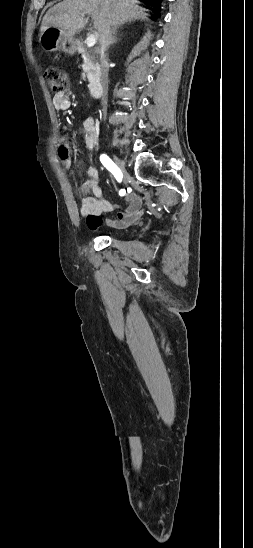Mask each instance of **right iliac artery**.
Instances as JSON below:
<instances>
[{
	"label": "right iliac artery",
	"instance_id": "right-iliac-artery-1",
	"mask_svg": "<svg viewBox=\"0 0 253 548\" xmlns=\"http://www.w3.org/2000/svg\"><path fill=\"white\" fill-rule=\"evenodd\" d=\"M100 161L104 165V167H106V169H108L114 175L117 181L121 182L122 173L120 169L113 163V161L106 154H102L100 156ZM119 194L123 196L125 194V190L121 189L119 191Z\"/></svg>",
	"mask_w": 253,
	"mask_h": 548
}]
</instances>
